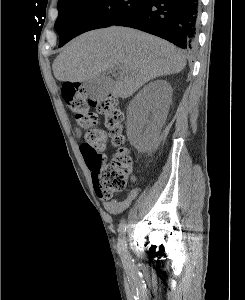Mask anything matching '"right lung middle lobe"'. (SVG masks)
I'll return each instance as SVG.
<instances>
[{
    "label": "right lung middle lobe",
    "instance_id": "obj_1",
    "mask_svg": "<svg viewBox=\"0 0 245 300\" xmlns=\"http://www.w3.org/2000/svg\"><path fill=\"white\" fill-rule=\"evenodd\" d=\"M148 0H59L55 29L60 46L89 30L114 25Z\"/></svg>",
    "mask_w": 245,
    "mask_h": 300
}]
</instances>
